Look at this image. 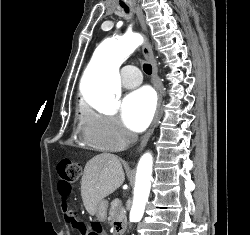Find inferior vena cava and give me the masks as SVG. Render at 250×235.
<instances>
[{
    "instance_id": "obj_1",
    "label": "inferior vena cava",
    "mask_w": 250,
    "mask_h": 235,
    "mask_svg": "<svg viewBox=\"0 0 250 235\" xmlns=\"http://www.w3.org/2000/svg\"><path fill=\"white\" fill-rule=\"evenodd\" d=\"M130 140L131 141H136L137 140V135L133 134V133H130Z\"/></svg>"
}]
</instances>
